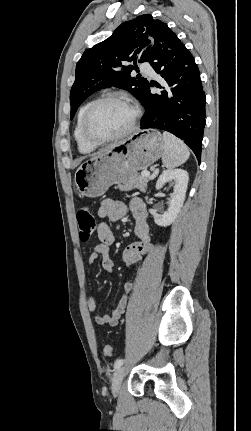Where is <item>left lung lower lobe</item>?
Returning a JSON list of instances; mask_svg holds the SVG:
<instances>
[{
  "mask_svg": "<svg viewBox=\"0 0 251 431\" xmlns=\"http://www.w3.org/2000/svg\"><path fill=\"white\" fill-rule=\"evenodd\" d=\"M150 65L164 79L150 83L141 99L145 115L141 129L157 128L173 133L193 150L199 163L205 126V94L195 60L175 33L154 50ZM162 89L151 94L150 87Z\"/></svg>",
  "mask_w": 251,
  "mask_h": 431,
  "instance_id": "left-lung-lower-lobe-1",
  "label": "left lung lower lobe"
}]
</instances>
